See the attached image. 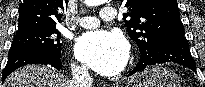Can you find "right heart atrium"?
<instances>
[{"instance_id":"right-heart-atrium-1","label":"right heart atrium","mask_w":205,"mask_h":87,"mask_svg":"<svg viewBox=\"0 0 205 87\" xmlns=\"http://www.w3.org/2000/svg\"><path fill=\"white\" fill-rule=\"evenodd\" d=\"M72 69L75 73H86L87 72V68L79 63H73L72 65Z\"/></svg>"}]
</instances>
